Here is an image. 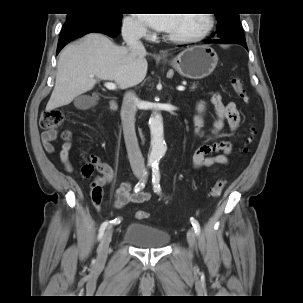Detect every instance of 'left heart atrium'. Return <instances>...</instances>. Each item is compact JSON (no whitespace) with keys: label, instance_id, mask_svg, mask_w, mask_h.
Masks as SVG:
<instances>
[{"label":"left heart atrium","instance_id":"left-heart-atrium-1","mask_svg":"<svg viewBox=\"0 0 303 303\" xmlns=\"http://www.w3.org/2000/svg\"><path fill=\"white\" fill-rule=\"evenodd\" d=\"M175 14H140V17L158 31H169Z\"/></svg>","mask_w":303,"mask_h":303}]
</instances>
